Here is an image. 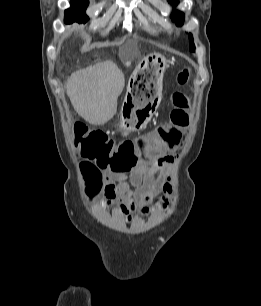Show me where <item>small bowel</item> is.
I'll return each instance as SVG.
<instances>
[{
	"mask_svg": "<svg viewBox=\"0 0 261 306\" xmlns=\"http://www.w3.org/2000/svg\"><path fill=\"white\" fill-rule=\"evenodd\" d=\"M176 161V154H164L149 165L110 171L106 176L105 204L115 203L117 211L128 223L135 215L148 216L155 210L167 209Z\"/></svg>",
	"mask_w": 261,
	"mask_h": 306,
	"instance_id": "c3829d8e",
	"label": "small bowel"
}]
</instances>
